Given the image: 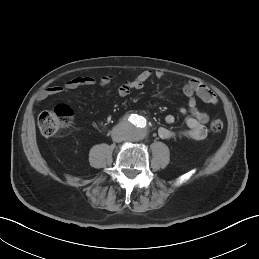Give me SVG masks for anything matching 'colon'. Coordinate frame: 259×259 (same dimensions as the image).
<instances>
[{"instance_id":"colon-1","label":"colon","mask_w":259,"mask_h":259,"mask_svg":"<svg viewBox=\"0 0 259 259\" xmlns=\"http://www.w3.org/2000/svg\"><path fill=\"white\" fill-rule=\"evenodd\" d=\"M73 111L65 105L59 104L54 109L45 111L39 116L38 124L42 135L46 137L58 136L73 123ZM210 128L213 132H221L224 122L220 119L211 121Z\"/></svg>"}]
</instances>
